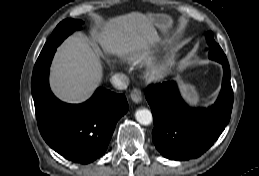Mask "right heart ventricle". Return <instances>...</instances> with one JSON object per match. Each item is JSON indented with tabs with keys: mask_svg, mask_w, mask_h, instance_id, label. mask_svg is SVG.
I'll use <instances>...</instances> for the list:
<instances>
[{
	"mask_svg": "<svg viewBox=\"0 0 259 176\" xmlns=\"http://www.w3.org/2000/svg\"><path fill=\"white\" fill-rule=\"evenodd\" d=\"M147 61L146 57L140 56V55H135L131 58V63L133 65H142Z\"/></svg>",
	"mask_w": 259,
	"mask_h": 176,
	"instance_id": "right-heart-ventricle-1",
	"label": "right heart ventricle"
}]
</instances>
